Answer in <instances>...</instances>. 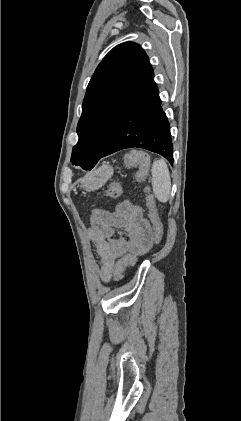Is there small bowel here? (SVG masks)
<instances>
[{"instance_id": "obj_1", "label": "small bowel", "mask_w": 241, "mask_h": 421, "mask_svg": "<svg viewBox=\"0 0 241 421\" xmlns=\"http://www.w3.org/2000/svg\"><path fill=\"white\" fill-rule=\"evenodd\" d=\"M88 233L100 258L99 275L104 282L115 274L118 259L127 254L142 256L154 241V232L142 208L128 200L114 211L94 210Z\"/></svg>"}]
</instances>
